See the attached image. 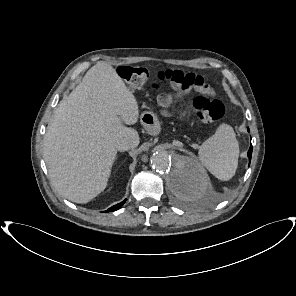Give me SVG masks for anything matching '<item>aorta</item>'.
Segmentation results:
<instances>
[{"mask_svg":"<svg viewBox=\"0 0 296 296\" xmlns=\"http://www.w3.org/2000/svg\"><path fill=\"white\" fill-rule=\"evenodd\" d=\"M151 166L164 176L170 196L178 202L199 201L209 191L207 178L191 157L157 151L151 157Z\"/></svg>","mask_w":296,"mask_h":296,"instance_id":"762f6f07","label":"aorta"}]
</instances>
